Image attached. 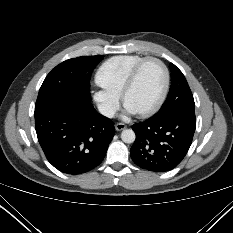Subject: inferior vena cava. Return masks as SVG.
Listing matches in <instances>:
<instances>
[{
	"label": "inferior vena cava",
	"instance_id": "602c4592",
	"mask_svg": "<svg viewBox=\"0 0 233 233\" xmlns=\"http://www.w3.org/2000/svg\"><path fill=\"white\" fill-rule=\"evenodd\" d=\"M98 110L100 112V114L109 117V118H113L115 115V108H113L112 106L108 105V104H98Z\"/></svg>",
	"mask_w": 233,
	"mask_h": 233
}]
</instances>
